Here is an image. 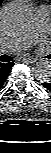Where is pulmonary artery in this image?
<instances>
[{
  "instance_id": "1",
  "label": "pulmonary artery",
  "mask_w": 51,
  "mask_h": 153,
  "mask_svg": "<svg viewBox=\"0 0 51 153\" xmlns=\"http://www.w3.org/2000/svg\"><path fill=\"white\" fill-rule=\"evenodd\" d=\"M50 8L47 5H41L35 9L30 30L24 36L4 41L1 44L2 52L14 53L26 49L29 44L40 36L48 25Z\"/></svg>"
}]
</instances>
